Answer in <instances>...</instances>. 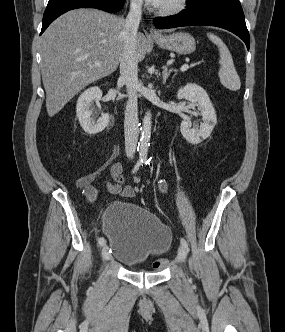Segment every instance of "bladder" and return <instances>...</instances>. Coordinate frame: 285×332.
Returning <instances> with one entry per match:
<instances>
[{
	"label": "bladder",
	"instance_id": "bladder-1",
	"mask_svg": "<svg viewBox=\"0 0 285 332\" xmlns=\"http://www.w3.org/2000/svg\"><path fill=\"white\" fill-rule=\"evenodd\" d=\"M104 232L111 256L133 267L168 248L169 229L146 209L131 203L112 204L104 216Z\"/></svg>",
	"mask_w": 285,
	"mask_h": 332
}]
</instances>
